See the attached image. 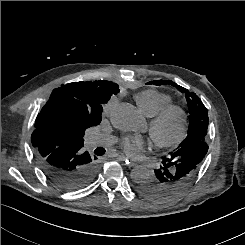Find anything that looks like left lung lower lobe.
Here are the masks:
<instances>
[{
  "label": "left lung lower lobe",
  "mask_w": 245,
  "mask_h": 245,
  "mask_svg": "<svg viewBox=\"0 0 245 245\" xmlns=\"http://www.w3.org/2000/svg\"><path fill=\"white\" fill-rule=\"evenodd\" d=\"M207 151L205 141H197L170 152L155 170V176L141 183L138 190L153 201L172 199L193 180Z\"/></svg>",
  "instance_id": "left-lung-lower-lobe-1"
}]
</instances>
